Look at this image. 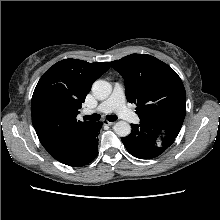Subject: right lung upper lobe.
Masks as SVG:
<instances>
[{"label": "right lung upper lobe", "instance_id": "cb5924a9", "mask_svg": "<svg viewBox=\"0 0 220 220\" xmlns=\"http://www.w3.org/2000/svg\"><path fill=\"white\" fill-rule=\"evenodd\" d=\"M109 67V62L64 59L40 78L31 101L32 123L41 144L53 158L94 124L77 120L76 116L93 82Z\"/></svg>", "mask_w": 220, "mask_h": 220}]
</instances>
